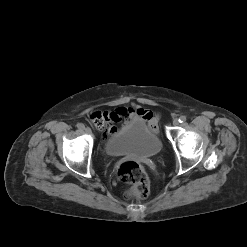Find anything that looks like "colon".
<instances>
[{
	"instance_id": "obj_1",
	"label": "colon",
	"mask_w": 247,
	"mask_h": 247,
	"mask_svg": "<svg viewBox=\"0 0 247 247\" xmlns=\"http://www.w3.org/2000/svg\"><path fill=\"white\" fill-rule=\"evenodd\" d=\"M91 121L97 128L106 127V116L102 113L91 115ZM119 179L130 184L131 189L125 194L127 198L137 196L146 198L150 193V182L144 168L136 161L128 160L118 166Z\"/></svg>"
}]
</instances>
